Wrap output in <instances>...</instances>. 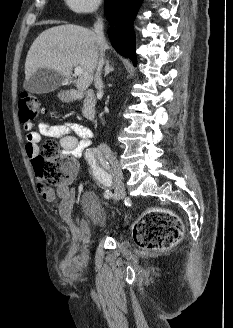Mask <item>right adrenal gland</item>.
Instances as JSON below:
<instances>
[{"mask_svg": "<svg viewBox=\"0 0 233 328\" xmlns=\"http://www.w3.org/2000/svg\"><path fill=\"white\" fill-rule=\"evenodd\" d=\"M112 71H114V68L110 66L109 60H106L104 77H106Z\"/></svg>", "mask_w": 233, "mask_h": 328, "instance_id": "right-adrenal-gland-1", "label": "right adrenal gland"}]
</instances>
